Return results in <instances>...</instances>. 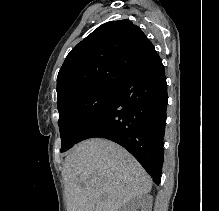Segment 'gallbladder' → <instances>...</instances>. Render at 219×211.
<instances>
[{
  "label": "gallbladder",
  "mask_w": 219,
  "mask_h": 211,
  "mask_svg": "<svg viewBox=\"0 0 219 211\" xmlns=\"http://www.w3.org/2000/svg\"><path fill=\"white\" fill-rule=\"evenodd\" d=\"M102 199H104L105 195H101Z\"/></svg>",
  "instance_id": "1"
}]
</instances>
